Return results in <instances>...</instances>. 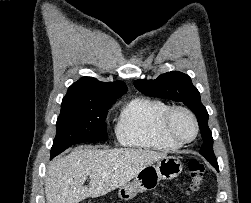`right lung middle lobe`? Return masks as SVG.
Returning a JSON list of instances; mask_svg holds the SVG:
<instances>
[{"label": "right lung middle lobe", "instance_id": "1", "mask_svg": "<svg viewBox=\"0 0 251 203\" xmlns=\"http://www.w3.org/2000/svg\"><path fill=\"white\" fill-rule=\"evenodd\" d=\"M115 102H87L62 105L56 123L51 159L68 147L84 142L107 140L105 118Z\"/></svg>", "mask_w": 251, "mask_h": 203}]
</instances>
